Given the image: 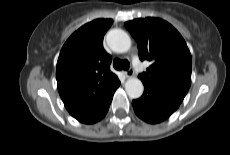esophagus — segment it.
Returning <instances> with one entry per match:
<instances>
[{
    "label": "esophagus",
    "instance_id": "34e87169",
    "mask_svg": "<svg viewBox=\"0 0 230 155\" xmlns=\"http://www.w3.org/2000/svg\"><path fill=\"white\" fill-rule=\"evenodd\" d=\"M124 74L127 78L133 77L134 76V70L132 68H130L129 70L125 71Z\"/></svg>",
    "mask_w": 230,
    "mask_h": 155
}]
</instances>
